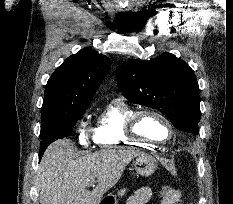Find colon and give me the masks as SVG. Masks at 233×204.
Instances as JSON below:
<instances>
[{
	"instance_id": "1",
	"label": "colon",
	"mask_w": 233,
	"mask_h": 204,
	"mask_svg": "<svg viewBox=\"0 0 233 204\" xmlns=\"http://www.w3.org/2000/svg\"><path fill=\"white\" fill-rule=\"evenodd\" d=\"M181 194L177 189L172 187H164L161 191V203L160 204H179Z\"/></svg>"
}]
</instances>
